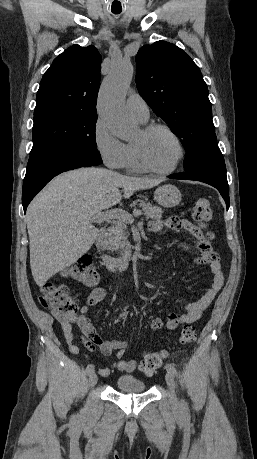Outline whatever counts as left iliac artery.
<instances>
[{"instance_id":"obj_1","label":"left iliac artery","mask_w":257,"mask_h":459,"mask_svg":"<svg viewBox=\"0 0 257 459\" xmlns=\"http://www.w3.org/2000/svg\"><path fill=\"white\" fill-rule=\"evenodd\" d=\"M165 367H166L167 371H169L173 376H178V372H177L176 368L172 364L167 363ZM181 405H182L183 411L185 413H188L189 412V407H188L187 402L185 400H182Z\"/></svg>"}]
</instances>
